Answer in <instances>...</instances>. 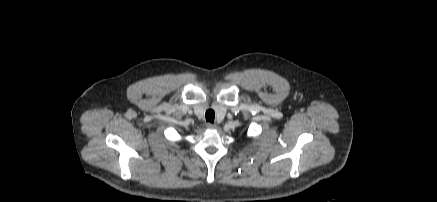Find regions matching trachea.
Returning a JSON list of instances; mask_svg holds the SVG:
<instances>
[{
    "label": "trachea",
    "instance_id": "3493384b",
    "mask_svg": "<svg viewBox=\"0 0 437 202\" xmlns=\"http://www.w3.org/2000/svg\"><path fill=\"white\" fill-rule=\"evenodd\" d=\"M214 110L209 109L206 111V121L213 123L214 122Z\"/></svg>",
    "mask_w": 437,
    "mask_h": 202
}]
</instances>
